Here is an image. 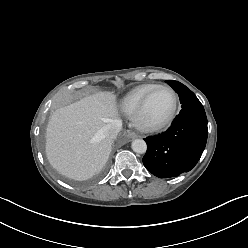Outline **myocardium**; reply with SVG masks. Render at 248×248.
Returning <instances> with one entry per match:
<instances>
[{"label": "myocardium", "mask_w": 248, "mask_h": 248, "mask_svg": "<svg viewBox=\"0 0 248 248\" xmlns=\"http://www.w3.org/2000/svg\"><path fill=\"white\" fill-rule=\"evenodd\" d=\"M156 89H165L172 95V99H173L172 108L169 111V113L160 121L147 122L144 120L145 107H146L150 94ZM177 108H178V97L176 93L174 92V90L166 85H155L144 95L137 110L135 111L133 115L134 125L140 131H143V132H159L165 129L166 127H168L172 123V121L175 118Z\"/></svg>", "instance_id": "1"}]
</instances>
